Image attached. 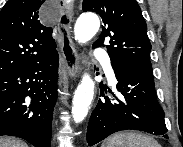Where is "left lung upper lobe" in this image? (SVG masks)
Here are the masks:
<instances>
[{
	"mask_svg": "<svg viewBox=\"0 0 183 147\" xmlns=\"http://www.w3.org/2000/svg\"><path fill=\"white\" fill-rule=\"evenodd\" d=\"M83 11L98 13L102 32L93 48L107 45L111 62L153 77L151 43L147 25L136 0H83Z\"/></svg>",
	"mask_w": 183,
	"mask_h": 147,
	"instance_id": "obj_1",
	"label": "left lung upper lobe"
}]
</instances>
